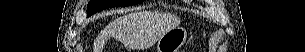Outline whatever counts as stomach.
Returning <instances> with one entry per match:
<instances>
[{
  "mask_svg": "<svg viewBox=\"0 0 305 52\" xmlns=\"http://www.w3.org/2000/svg\"><path fill=\"white\" fill-rule=\"evenodd\" d=\"M187 39V31L178 26L163 34L157 41L156 52H178Z\"/></svg>",
  "mask_w": 305,
  "mask_h": 52,
  "instance_id": "1",
  "label": "stomach"
}]
</instances>
